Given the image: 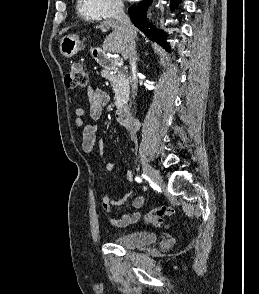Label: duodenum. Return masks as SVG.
Segmentation results:
<instances>
[{
	"label": "duodenum",
	"instance_id": "1",
	"mask_svg": "<svg viewBox=\"0 0 259 294\" xmlns=\"http://www.w3.org/2000/svg\"><path fill=\"white\" fill-rule=\"evenodd\" d=\"M97 59L99 60V62L106 66V67H110L111 63L109 61V59L104 55V54H99L97 56ZM116 118L117 120L125 125L128 129L132 130V131H136L139 128V122L138 120H136L132 114L130 113V111L123 106H120L117 111H116Z\"/></svg>",
	"mask_w": 259,
	"mask_h": 294
}]
</instances>
